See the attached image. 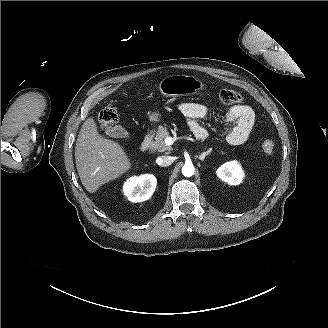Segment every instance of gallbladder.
Returning a JSON list of instances; mask_svg holds the SVG:
<instances>
[{"label":"gallbladder","instance_id":"gallbladder-1","mask_svg":"<svg viewBox=\"0 0 328 328\" xmlns=\"http://www.w3.org/2000/svg\"><path fill=\"white\" fill-rule=\"evenodd\" d=\"M105 133L109 137H113V138H128L129 137L128 131L121 125H115L113 127L108 126L105 128Z\"/></svg>","mask_w":328,"mask_h":328}]
</instances>
